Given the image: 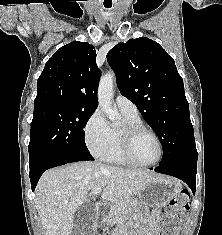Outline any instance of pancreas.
Returning <instances> with one entry per match:
<instances>
[{
    "instance_id": "1",
    "label": "pancreas",
    "mask_w": 222,
    "mask_h": 235,
    "mask_svg": "<svg viewBox=\"0 0 222 235\" xmlns=\"http://www.w3.org/2000/svg\"><path fill=\"white\" fill-rule=\"evenodd\" d=\"M135 203L134 199H130L126 202L112 205L108 217L104 220L105 224H114L123 214H125V212L128 214L135 212ZM95 227H97V225Z\"/></svg>"
}]
</instances>
